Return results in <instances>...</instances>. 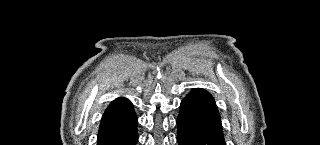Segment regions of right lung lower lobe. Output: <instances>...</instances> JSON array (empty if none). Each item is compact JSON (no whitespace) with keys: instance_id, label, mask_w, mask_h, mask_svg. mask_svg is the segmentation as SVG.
<instances>
[{"instance_id":"obj_1","label":"right lung lower lobe","mask_w":320,"mask_h":145,"mask_svg":"<svg viewBox=\"0 0 320 145\" xmlns=\"http://www.w3.org/2000/svg\"><path fill=\"white\" fill-rule=\"evenodd\" d=\"M137 123L132 103L126 98L115 99L101 119L98 145H136Z\"/></svg>"}]
</instances>
